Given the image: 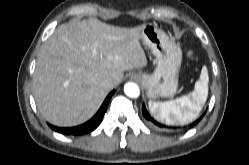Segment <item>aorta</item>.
Listing matches in <instances>:
<instances>
[{
  "mask_svg": "<svg viewBox=\"0 0 249 165\" xmlns=\"http://www.w3.org/2000/svg\"><path fill=\"white\" fill-rule=\"evenodd\" d=\"M124 93L130 98H137L140 95V89L136 83L127 82L124 85Z\"/></svg>",
  "mask_w": 249,
  "mask_h": 165,
  "instance_id": "762f6f07",
  "label": "aorta"
}]
</instances>
